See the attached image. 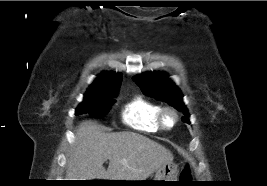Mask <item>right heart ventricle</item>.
<instances>
[{
  "instance_id": "1",
  "label": "right heart ventricle",
  "mask_w": 267,
  "mask_h": 186,
  "mask_svg": "<svg viewBox=\"0 0 267 186\" xmlns=\"http://www.w3.org/2000/svg\"><path fill=\"white\" fill-rule=\"evenodd\" d=\"M161 106L141 96L129 101L122 110V120L130 128L145 132L156 133L161 129L157 122Z\"/></svg>"
}]
</instances>
